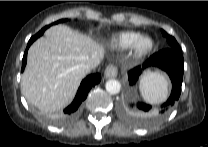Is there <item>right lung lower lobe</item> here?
Wrapping results in <instances>:
<instances>
[{
	"mask_svg": "<svg viewBox=\"0 0 208 147\" xmlns=\"http://www.w3.org/2000/svg\"><path fill=\"white\" fill-rule=\"evenodd\" d=\"M43 33H37L36 35H34L33 37L30 38L28 44H27V48L24 52V56L22 59V69L21 71L24 70L26 62H27V52H28V48L30 47V45L38 38L42 35ZM101 80V75L100 74H91L89 76H87L81 83L77 95L74 99V101L72 102V104L70 106H68L65 110H64V115H61L59 117L56 118V120L58 122H62L67 120L69 117L72 116V114L78 109L79 105L82 103V101H84L87 97V94L89 92V90L95 86L96 84H98Z\"/></svg>",
	"mask_w": 208,
	"mask_h": 147,
	"instance_id": "98d812e1",
	"label": "right lung lower lobe"
}]
</instances>
